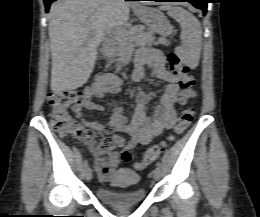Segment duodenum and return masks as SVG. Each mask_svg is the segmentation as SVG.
Listing matches in <instances>:
<instances>
[{"label": "duodenum", "instance_id": "obj_1", "mask_svg": "<svg viewBox=\"0 0 260 217\" xmlns=\"http://www.w3.org/2000/svg\"><path fill=\"white\" fill-rule=\"evenodd\" d=\"M103 55H104V57H107V58H108V57H110L111 54H110L109 51H105V52L103 53ZM102 79H104L103 76H102Z\"/></svg>", "mask_w": 260, "mask_h": 217}]
</instances>
